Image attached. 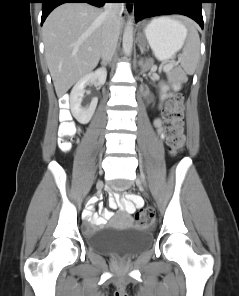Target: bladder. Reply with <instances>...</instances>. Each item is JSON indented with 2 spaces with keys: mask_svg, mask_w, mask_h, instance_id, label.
I'll return each mask as SVG.
<instances>
[{
  "mask_svg": "<svg viewBox=\"0 0 239 296\" xmlns=\"http://www.w3.org/2000/svg\"><path fill=\"white\" fill-rule=\"evenodd\" d=\"M88 245L105 255L133 257L148 249L152 244V233L140 226L119 228L103 226L86 237Z\"/></svg>",
  "mask_w": 239,
  "mask_h": 296,
  "instance_id": "31cf9c89",
  "label": "bladder"
}]
</instances>
